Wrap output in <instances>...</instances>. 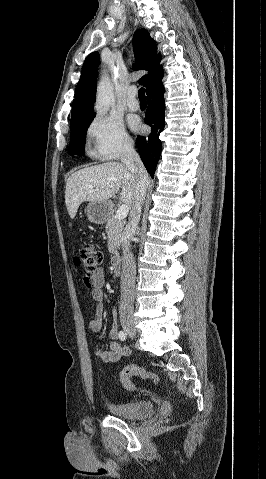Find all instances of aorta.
Masks as SVG:
<instances>
[{
    "label": "aorta",
    "instance_id": "1",
    "mask_svg": "<svg viewBox=\"0 0 266 479\" xmlns=\"http://www.w3.org/2000/svg\"><path fill=\"white\" fill-rule=\"evenodd\" d=\"M113 101L114 94L112 85L108 78L103 77L97 90L96 112L101 115L105 114Z\"/></svg>",
    "mask_w": 266,
    "mask_h": 479
}]
</instances>
